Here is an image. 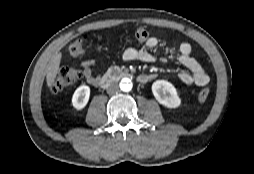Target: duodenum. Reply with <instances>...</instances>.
Here are the masks:
<instances>
[{
    "label": "duodenum",
    "mask_w": 254,
    "mask_h": 174,
    "mask_svg": "<svg viewBox=\"0 0 254 174\" xmlns=\"http://www.w3.org/2000/svg\"><path fill=\"white\" fill-rule=\"evenodd\" d=\"M130 77V73L119 68L110 69L101 79L99 85L102 87H107L111 83Z\"/></svg>",
    "instance_id": "410a0bca"
}]
</instances>
